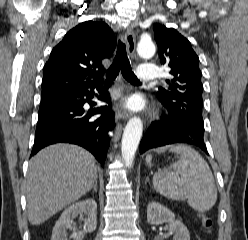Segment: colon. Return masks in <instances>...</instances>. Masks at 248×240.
I'll return each mask as SVG.
<instances>
[{"label": "colon", "instance_id": "colon-1", "mask_svg": "<svg viewBox=\"0 0 248 240\" xmlns=\"http://www.w3.org/2000/svg\"><path fill=\"white\" fill-rule=\"evenodd\" d=\"M203 224L206 228H210L212 225V222L208 217H203Z\"/></svg>", "mask_w": 248, "mask_h": 240}]
</instances>
